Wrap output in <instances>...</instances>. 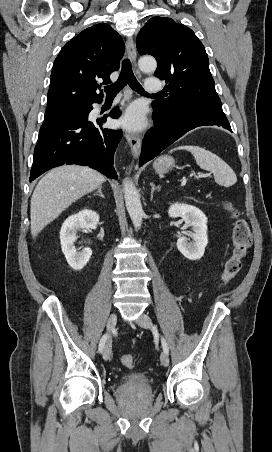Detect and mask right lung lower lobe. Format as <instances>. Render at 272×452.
<instances>
[{
  "label": "right lung lower lobe",
  "mask_w": 272,
  "mask_h": 452,
  "mask_svg": "<svg viewBox=\"0 0 272 452\" xmlns=\"http://www.w3.org/2000/svg\"><path fill=\"white\" fill-rule=\"evenodd\" d=\"M92 109L88 105L75 113L45 115L34 150L30 182L63 164L89 166L109 178H118L113 158L122 131L103 129L106 117L89 121ZM119 115L118 108L110 112L112 118Z\"/></svg>",
  "instance_id": "obj_1"
}]
</instances>
